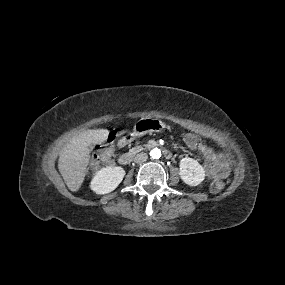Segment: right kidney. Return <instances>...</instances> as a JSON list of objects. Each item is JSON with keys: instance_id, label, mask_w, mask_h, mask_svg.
I'll return each instance as SVG.
<instances>
[{"instance_id": "right-kidney-1", "label": "right kidney", "mask_w": 285, "mask_h": 285, "mask_svg": "<svg viewBox=\"0 0 285 285\" xmlns=\"http://www.w3.org/2000/svg\"><path fill=\"white\" fill-rule=\"evenodd\" d=\"M125 175L122 167H104L93 177L90 188L96 194H107L112 192L121 183Z\"/></svg>"}]
</instances>
